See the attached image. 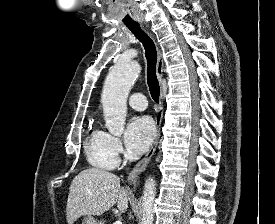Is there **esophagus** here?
Instances as JSON below:
<instances>
[{"instance_id": "esophagus-1", "label": "esophagus", "mask_w": 275, "mask_h": 224, "mask_svg": "<svg viewBox=\"0 0 275 224\" xmlns=\"http://www.w3.org/2000/svg\"><path fill=\"white\" fill-rule=\"evenodd\" d=\"M157 51H158L157 76L160 84L162 85L164 62H163L161 50L157 48ZM162 117H163V90H161V93H160V109L156 116V127H157L156 137L147 154L136 164L134 169L130 172L128 176V180L131 184H136L139 178V175L146 169L150 159L152 158L156 150V147L158 145L159 138H160V126L162 122Z\"/></svg>"}]
</instances>
